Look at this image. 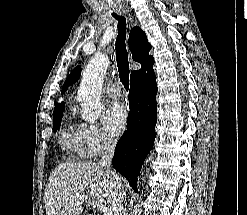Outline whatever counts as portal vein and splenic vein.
I'll list each match as a JSON object with an SVG mask.
<instances>
[{
	"label": "portal vein and splenic vein",
	"instance_id": "18ae733b",
	"mask_svg": "<svg viewBox=\"0 0 247 215\" xmlns=\"http://www.w3.org/2000/svg\"><path fill=\"white\" fill-rule=\"evenodd\" d=\"M99 210L103 215H112L111 208H109L107 205H99Z\"/></svg>",
	"mask_w": 247,
	"mask_h": 215
}]
</instances>
